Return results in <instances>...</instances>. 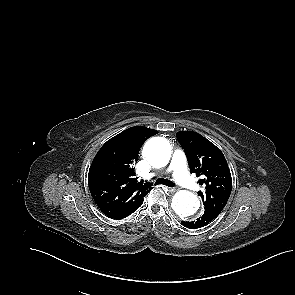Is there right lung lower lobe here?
<instances>
[{
	"mask_svg": "<svg viewBox=\"0 0 295 295\" xmlns=\"http://www.w3.org/2000/svg\"><path fill=\"white\" fill-rule=\"evenodd\" d=\"M134 212V211H133ZM132 212H130V213H127V214H124V215H119V216H109V217H111V218H113V219H123V218H125V217H127L128 215H130Z\"/></svg>",
	"mask_w": 295,
	"mask_h": 295,
	"instance_id": "98d812e1",
	"label": "right lung lower lobe"
}]
</instances>
